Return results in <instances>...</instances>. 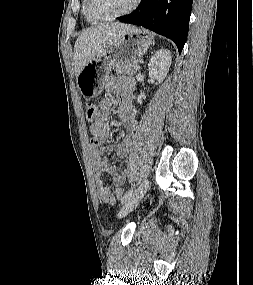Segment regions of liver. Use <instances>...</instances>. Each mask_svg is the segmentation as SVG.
<instances>
[{
    "mask_svg": "<svg viewBox=\"0 0 253 285\" xmlns=\"http://www.w3.org/2000/svg\"><path fill=\"white\" fill-rule=\"evenodd\" d=\"M134 28L122 23L102 24L81 33L74 46L76 76L87 63L101 55L127 31Z\"/></svg>",
    "mask_w": 253,
    "mask_h": 285,
    "instance_id": "liver-1",
    "label": "liver"
}]
</instances>
